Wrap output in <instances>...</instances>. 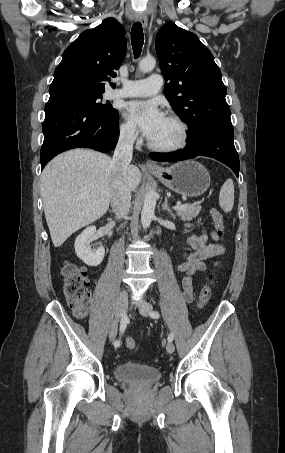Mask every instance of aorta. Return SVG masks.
<instances>
[{"mask_svg":"<svg viewBox=\"0 0 285 453\" xmlns=\"http://www.w3.org/2000/svg\"><path fill=\"white\" fill-rule=\"evenodd\" d=\"M156 66V60L153 57H145L139 62V70L143 73L152 71ZM156 193L153 190L147 192L143 208L141 211V223L144 228H148L155 214Z\"/></svg>","mask_w":285,"mask_h":453,"instance_id":"762f6f07","label":"aorta"}]
</instances>
